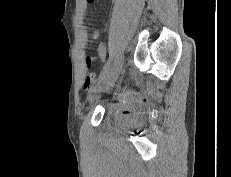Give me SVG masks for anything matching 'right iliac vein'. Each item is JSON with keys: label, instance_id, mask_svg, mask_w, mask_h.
<instances>
[{"label": "right iliac vein", "instance_id": "obj_1", "mask_svg": "<svg viewBox=\"0 0 231 177\" xmlns=\"http://www.w3.org/2000/svg\"><path fill=\"white\" fill-rule=\"evenodd\" d=\"M120 66L121 64L119 61H117L112 66L111 70L105 75L101 83L89 92L88 95L89 101H92L94 99L96 93L103 92L109 89L111 86H113V84L115 83V81L119 76Z\"/></svg>", "mask_w": 231, "mask_h": 177}]
</instances>
